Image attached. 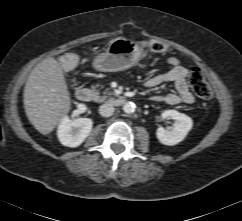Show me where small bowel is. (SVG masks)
Returning <instances> with one entry per match:
<instances>
[{"label": "small bowel", "mask_w": 242, "mask_h": 221, "mask_svg": "<svg viewBox=\"0 0 242 221\" xmlns=\"http://www.w3.org/2000/svg\"><path fill=\"white\" fill-rule=\"evenodd\" d=\"M168 69L160 74L154 75L145 82L147 88H153L163 83H172L176 93H167L165 95H154L153 101H161L169 105H177L181 102L191 104L194 102V96L189 90L187 84L188 68L175 57L167 59Z\"/></svg>", "instance_id": "c3829d8e"}]
</instances>
